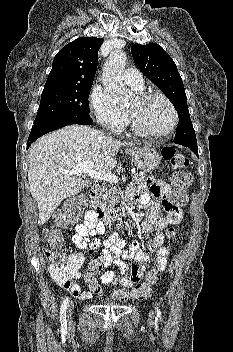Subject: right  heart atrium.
Returning a JSON list of instances; mask_svg holds the SVG:
<instances>
[{
  "instance_id": "d8ad5b80",
  "label": "right heart atrium",
  "mask_w": 233,
  "mask_h": 352,
  "mask_svg": "<svg viewBox=\"0 0 233 352\" xmlns=\"http://www.w3.org/2000/svg\"><path fill=\"white\" fill-rule=\"evenodd\" d=\"M91 102L98 123L114 132L124 128L127 116L106 91L94 89L91 94Z\"/></svg>"
}]
</instances>
